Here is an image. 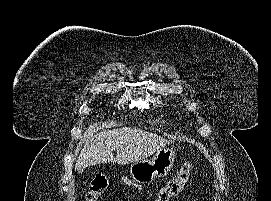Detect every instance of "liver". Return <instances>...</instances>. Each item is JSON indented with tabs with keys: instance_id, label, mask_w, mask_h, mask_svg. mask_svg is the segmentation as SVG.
Masks as SVG:
<instances>
[{
	"instance_id": "1",
	"label": "liver",
	"mask_w": 271,
	"mask_h": 201,
	"mask_svg": "<svg viewBox=\"0 0 271 201\" xmlns=\"http://www.w3.org/2000/svg\"><path fill=\"white\" fill-rule=\"evenodd\" d=\"M172 140L165 139L137 128L123 127L108 131H99L97 126L89 127L83 148L77 158L75 170L109 162L120 165L144 160L163 147L172 144ZM117 156H113V151Z\"/></svg>"
}]
</instances>
